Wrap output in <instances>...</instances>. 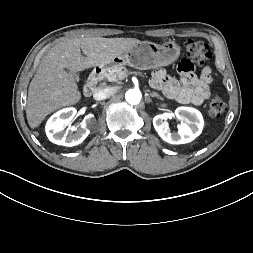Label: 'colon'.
<instances>
[{
  "label": "colon",
  "mask_w": 253,
  "mask_h": 253,
  "mask_svg": "<svg viewBox=\"0 0 253 253\" xmlns=\"http://www.w3.org/2000/svg\"><path fill=\"white\" fill-rule=\"evenodd\" d=\"M186 58L194 60L198 66H204L212 59V52L209 45L201 40H188L185 45ZM208 111L211 116L218 117L225 111V103L219 97H213L208 104Z\"/></svg>",
  "instance_id": "1"
}]
</instances>
